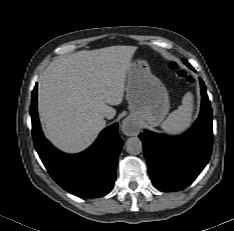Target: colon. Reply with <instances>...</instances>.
<instances>
[{
    "label": "colon",
    "mask_w": 234,
    "mask_h": 231,
    "mask_svg": "<svg viewBox=\"0 0 234 231\" xmlns=\"http://www.w3.org/2000/svg\"><path fill=\"white\" fill-rule=\"evenodd\" d=\"M169 67L174 75L181 81H184L188 84H191L193 82V76L190 75V73L186 69L181 68L177 63H171Z\"/></svg>",
    "instance_id": "1"
}]
</instances>
